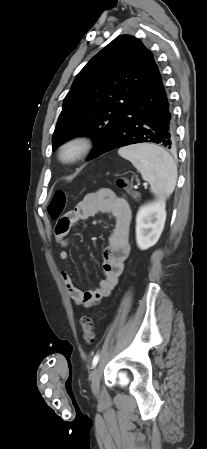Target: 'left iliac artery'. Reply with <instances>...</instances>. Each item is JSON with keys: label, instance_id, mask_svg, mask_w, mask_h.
<instances>
[{"label": "left iliac artery", "instance_id": "1", "mask_svg": "<svg viewBox=\"0 0 207 449\" xmlns=\"http://www.w3.org/2000/svg\"><path fill=\"white\" fill-rule=\"evenodd\" d=\"M99 361V355L96 354L92 360V366L95 367Z\"/></svg>", "mask_w": 207, "mask_h": 449}]
</instances>
